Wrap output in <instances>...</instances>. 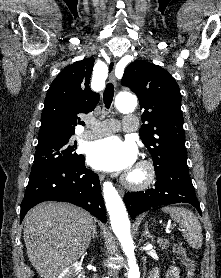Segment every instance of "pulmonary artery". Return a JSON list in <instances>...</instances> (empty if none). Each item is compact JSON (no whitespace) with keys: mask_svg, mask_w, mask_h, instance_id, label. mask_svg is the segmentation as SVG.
<instances>
[{"mask_svg":"<svg viewBox=\"0 0 221 278\" xmlns=\"http://www.w3.org/2000/svg\"><path fill=\"white\" fill-rule=\"evenodd\" d=\"M137 118L128 115L125 116L120 123L118 120L109 119L103 122L89 121L88 127L90 130L83 133V137L87 139H94L99 136L107 135L119 130L120 126L126 131H132L136 128Z\"/></svg>","mask_w":221,"mask_h":278,"instance_id":"pulmonary-artery-1","label":"pulmonary artery"}]
</instances>
